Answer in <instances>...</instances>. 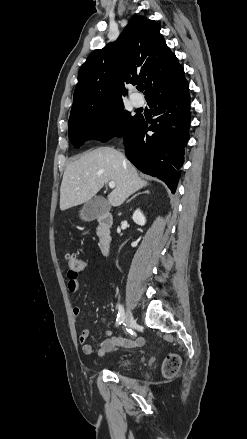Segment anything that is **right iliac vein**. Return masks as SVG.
Returning <instances> with one entry per match:
<instances>
[{"label":"right iliac vein","instance_id":"obj_1","mask_svg":"<svg viewBox=\"0 0 247 439\" xmlns=\"http://www.w3.org/2000/svg\"><path fill=\"white\" fill-rule=\"evenodd\" d=\"M125 323L128 327H130L134 323L133 314L129 308L126 312Z\"/></svg>","mask_w":247,"mask_h":439}]
</instances>
